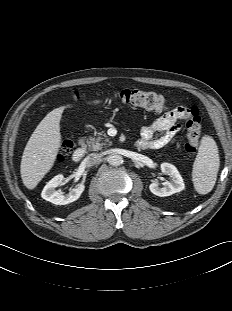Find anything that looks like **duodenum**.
Here are the masks:
<instances>
[{
  "mask_svg": "<svg viewBox=\"0 0 232 311\" xmlns=\"http://www.w3.org/2000/svg\"><path fill=\"white\" fill-rule=\"evenodd\" d=\"M85 152H86V149L84 145V140L80 139L79 147L72 154V160L76 163L80 162L83 159Z\"/></svg>",
  "mask_w": 232,
  "mask_h": 311,
  "instance_id": "duodenum-1",
  "label": "duodenum"
}]
</instances>
